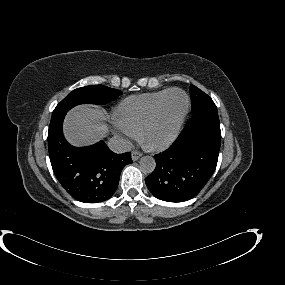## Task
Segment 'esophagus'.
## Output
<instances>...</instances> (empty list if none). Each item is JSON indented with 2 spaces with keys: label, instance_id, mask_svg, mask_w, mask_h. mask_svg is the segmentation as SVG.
<instances>
[{
  "label": "esophagus",
  "instance_id": "esophagus-1",
  "mask_svg": "<svg viewBox=\"0 0 285 285\" xmlns=\"http://www.w3.org/2000/svg\"><path fill=\"white\" fill-rule=\"evenodd\" d=\"M131 155H132V160L137 161L142 156V153L138 151H132Z\"/></svg>",
  "mask_w": 285,
  "mask_h": 285
}]
</instances>
